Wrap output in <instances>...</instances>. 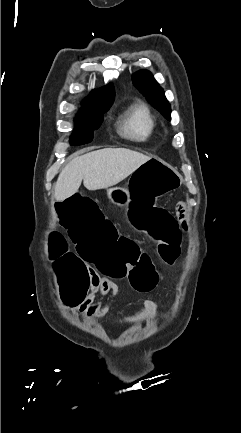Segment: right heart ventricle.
<instances>
[{"label":"right heart ventricle","mask_w":241,"mask_h":433,"mask_svg":"<svg viewBox=\"0 0 241 433\" xmlns=\"http://www.w3.org/2000/svg\"><path fill=\"white\" fill-rule=\"evenodd\" d=\"M155 119L143 103L131 105L122 115L121 132L134 141L146 142L155 131Z\"/></svg>","instance_id":"1"}]
</instances>
